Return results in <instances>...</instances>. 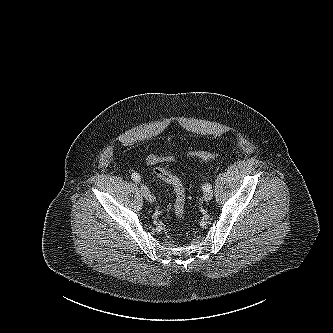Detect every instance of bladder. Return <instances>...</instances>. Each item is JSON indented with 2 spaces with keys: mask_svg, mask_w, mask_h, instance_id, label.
Instances as JSON below:
<instances>
[{
  "mask_svg": "<svg viewBox=\"0 0 333 333\" xmlns=\"http://www.w3.org/2000/svg\"><path fill=\"white\" fill-rule=\"evenodd\" d=\"M160 157L159 156H157V155H151V156H149V158H148V164H150V165H154V164H156L158 161H160Z\"/></svg>",
  "mask_w": 333,
  "mask_h": 333,
  "instance_id": "obj_1",
  "label": "bladder"
}]
</instances>
